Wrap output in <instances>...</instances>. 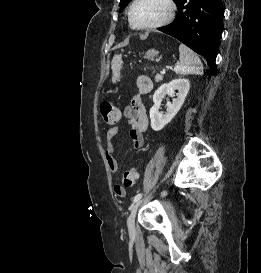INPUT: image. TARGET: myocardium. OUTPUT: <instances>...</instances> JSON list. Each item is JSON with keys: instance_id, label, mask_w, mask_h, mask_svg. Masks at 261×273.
Segmentation results:
<instances>
[{"instance_id": "f54148a6", "label": "myocardium", "mask_w": 261, "mask_h": 273, "mask_svg": "<svg viewBox=\"0 0 261 273\" xmlns=\"http://www.w3.org/2000/svg\"><path fill=\"white\" fill-rule=\"evenodd\" d=\"M162 1L166 6V12L163 15V17L154 23H151L148 25H143V26H138L134 23L132 14H133L134 7L139 2V0H133L129 9H128V13H127L128 22H129L130 27L132 29L138 30V31H150V30H154V29L163 27V26L167 25L168 23H170L175 16L176 5L174 3V0H162Z\"/></svg>"}]
</instances>
